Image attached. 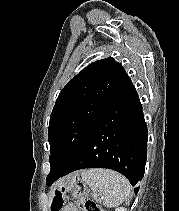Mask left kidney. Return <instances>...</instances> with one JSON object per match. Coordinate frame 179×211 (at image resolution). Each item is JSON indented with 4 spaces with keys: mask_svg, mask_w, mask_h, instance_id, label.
I'll use <instances>...</instances> for the list:
<instances>
[{
    "mask_svg": "<svg viewBox=\"0 0 179 211\" xmlns=\"http://www.w3.org/2000/svg\"><path fill=\"white\" fill-rule=\"evenodd\" d=\"M115 211H127V210H126V208L120 207V208H116Z\"/></svg>",
    "mask_w": 179,
    "mask_h": 211,
    "instance_id": "1",
    "label": "left kidney"
}]
</instances>
